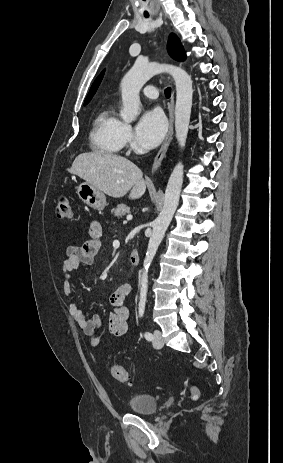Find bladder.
I'll return each instance as SVG.
<instances>
[{
	"label": "bladder",
	"instance_id": "obj_1",
	"mask_svg": "<svg viewBox=\"0 0 283 463\" xmlns=\"http://www.w3.org/2000/svg\"><path fill=\"white\" fill-rule=\"evenodd\" d=\"M127 408L134 414L151 416L157 412L159 400L150 394H134L129 398Z\"/></svg>",
	"mask_w": 283,
	"mask_h": 463
}]
</instances>
